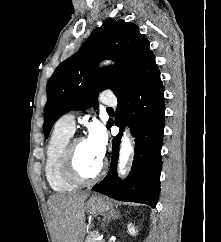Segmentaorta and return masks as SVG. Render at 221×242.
<instances>
[{"mask_svg":"<svg viewBox=\"0 0 221 242\" xmlns=\"http://www.w3.org/2000/svg\"><path fill=\"white\" fill-rule=\"evenodd\" d=\"M133 151V147L130 143V139L126 133H124L121 140V148L119 155V174H125V166L129 160V157Z\"/></svg>","mask_w":221,"mask_h":242,"instance_id":"obj_1","label":"aorta"}]
</instances>
